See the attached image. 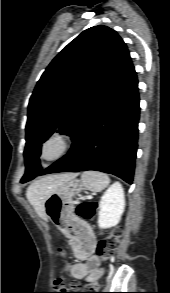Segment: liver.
Wrapping results in <instances>:
<instances>
[{"label":"liver","mask_w":170,"mask_h":293,"mask_svg":"<svg viewBox=\"0 0 170 293\" xmlns=\"http://www.w3.org/2000/svg\"><path fill=\"white\" fill-rule=\"evenodd\" d=\"M76 176L77 175L73 173L50 175L38 181H35L27 188L26 197L35 209L36 213L43 220L47 219L44 209V203L49 194L55 188L62 185L66 181L75 178Z\"/></svg>","instance_id":"6515ba94"}]
</instances>
